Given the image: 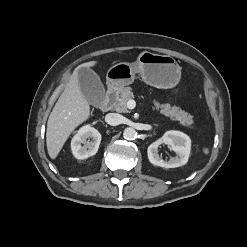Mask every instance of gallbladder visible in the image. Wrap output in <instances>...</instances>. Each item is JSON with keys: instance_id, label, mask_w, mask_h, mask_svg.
<instances>
[{"instance_id": "obj_1", "label": "gallbladder", "mask_w": 247, "mask_h": 247, "mask_svg": "<svg viewBox=\"0 0 247 247\" xmlns=\"http://www.w3.org/2000/svg\"><path fill=\"white\" fill-rule=\"evenodd\" d=\"M78 80L85 99L91 105L101 107L105 97V89L99 76L90 68L81 67L78 69Z\"/></svg>"}]
</instances>
